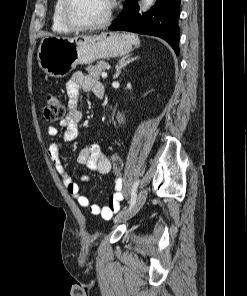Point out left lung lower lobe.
Here are the masks:
<instances>
[{
    "mask_svg": "<svg viewBox=\"0 0 247 296\" xmlns=\"http://www.w3.org/2000/svg\"><path fill=\"white\" fill-rule=\"evenodd\" d=\"M180 2L181 0H156L155 5L141 16L138 13V0H125L122 12L109 29L160 37L179 55Z\"/></svg>",
    "mask_w": 247,
    "mask_h": 296,
    "instance_id": "0a47b994",
    "label": "left lung lower lobe"
}]
</instances>
